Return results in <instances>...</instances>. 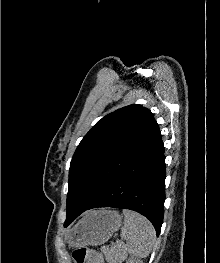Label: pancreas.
<instances>
[{
  "mask_svg": "<svg viewBox=\"0 0 220 263\" xmlns=\"http://www.w3.org/2000/svg\"><path fill=\"white\" fill-rule=\"evenodd\" d=\"M101 251L104 253L106 260L110 263H116V260H120L123 256L120 254L121 251L118 248V244L109 248H102Z\"/></svg>",
  "mask_w": 220,
  "mask_h": 263,
  "instance_id": "obj_1",
  "label": "pancreas"
}]
</instances>
